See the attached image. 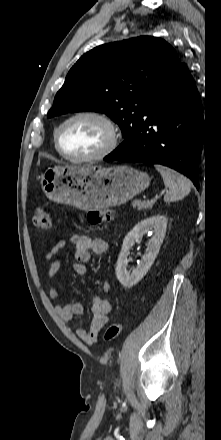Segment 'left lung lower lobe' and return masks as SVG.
Listing matches in <instances>:
<instances>
[{"mask_svg": "<svg viewBox=\"0 0 221 440\" xmlns=\"http://www.w3.org/2000/svg\"><path fill=\"white\" fill-rule=\"evenodd\" d=\"M203 146L200 96L188 68L180 63L147 103L130 139L104 160L162 164L186 175L198 189Z\"/></svg>", "mask_w": 221, "mask_h": 440, "instance_id": "left-lung-lower-lobe-1", "label": "left lung lower lobe"}]
</instances>
